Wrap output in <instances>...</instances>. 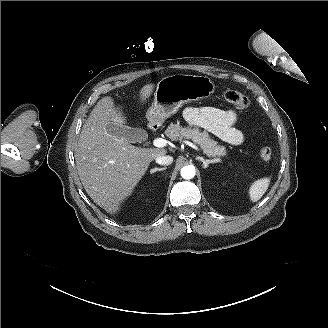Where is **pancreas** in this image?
Masks as SVG:
<instances>
[{"label": "pancreas", "instance_id": "cf45deb5", "mask_svg": "<svg viewBox=\"0 0 328 328\" xmlns=\"http://www.w3.org/2000/svg\"><path fill=\"white\" fill-rule=\"evenodd\" d=\"M165 135L172 141L191 139L195 144H198L201 147L207 156L214 157V163L221 162L220 157L226 155V149L224 146L218 145L217 141L211 139L207 131H200L198 128H184L178 123H171L165 130Z\"/></svg>", "mask_w": 328, "mask_h": 328}]
</instances>
